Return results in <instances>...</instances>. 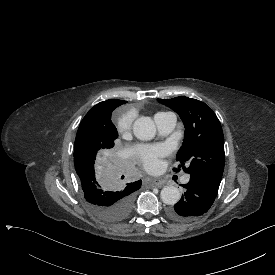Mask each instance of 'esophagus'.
<instances>
[{
    "label": "esophagus",
    "instance_id": "obj_1",
    "mask_svg": "<svg viewBox=\"0 0 275 275\" xmlns=\"http://www.w3.org/2000/svg\"><path fill=\"white\" fill-rule=\"evenodd\" d=\"M153 184L157 187H160L164 184V181L160 178H156V179L153 180Z\"/></svg>",
    "mask_w": 275,
    "mask_h": 275
}]
</instances>
